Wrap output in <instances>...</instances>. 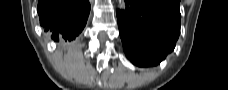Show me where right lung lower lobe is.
<instances>
[{"label": "right lung lower lobe", "instance_id": "right-lung-lower-lobe-1", "mask_svg": "<svg viewBox=\"0 0 228 90\" xmlns=\"http://www.w3.org/2000/svg\"><path fill=\"white\" fill-rule=\"evenodd\" d=\"M39 20L45 31L60 44L74 40L86 25L88 0H39Z\"/></svg>", "mask_w": 228, "mask_h": 90}]
</instances>
